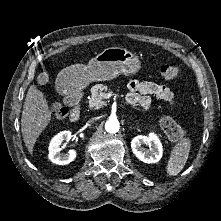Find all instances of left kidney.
I'll list each match as a JSON object with an SVG mask.
<instances>
[{
    "label": "left kidney",
    "mask_w": 221,
    "mask_h": 221,
    "mask_svg": "<svg viewBox=\"0 0 221 221\" xmlns=\"http://www.w3.org/2000/svg\"><path fill=\"white\" fill-rule=\"evenodd\" d=\"M143 144L148 145L150 149H145ZM131 148L135 156L144 163H157L162 158V144L155 133L134 137L131 141Z\"/></svg>",
    "instance_id": "5707ae66"
}]
</instances>
